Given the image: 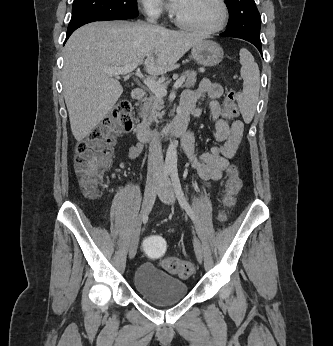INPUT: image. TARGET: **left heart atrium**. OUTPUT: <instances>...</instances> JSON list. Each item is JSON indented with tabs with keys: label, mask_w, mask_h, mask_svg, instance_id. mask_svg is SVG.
<instances>
[{
	"label": "left heart atrium",
	"mask_w": 333,
	"mask_h": 346,
	"mask_svg": "<svg viewBox=\"0 0 333 346\" xmlns=\"http://www.w3.org/2000/svg\"><path fill=\"white\" fill-rule=\"evenodd\" d=\"M184 0H169L170 5L174 11H178Z\"/></svg>",
	"instance_id": "39dd6f15"
}]
</instances>
